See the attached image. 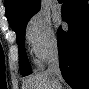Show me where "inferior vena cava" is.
I'll use <instances>...</instances> for the list:
<instances>
[{
	"label": "inferior vena cava",
	"mask_w": 89,
	"mask_h": 89,
	"mask_svg": "<svg viewBox=\"0 0 89 89\" xmlns=\"http://www.w3.org/2000/svg\"><path fill=\"white\" fill-rule=\"evenodd\" d=\"M47 73L54 75L58 79L61 78V72L59 68V57L58 51L55 49L50 53Z\"/></svg>",
	"instance_id": "inferior-vena-cava-1"
}]
</instances>
